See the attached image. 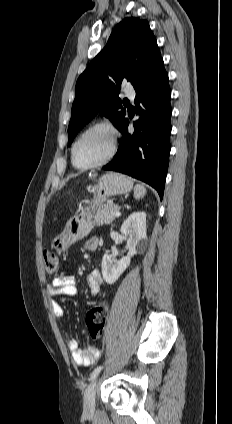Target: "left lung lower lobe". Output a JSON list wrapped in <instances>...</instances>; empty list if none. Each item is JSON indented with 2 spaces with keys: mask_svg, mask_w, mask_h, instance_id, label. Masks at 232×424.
<instances>
[{
  "mask_svg": "<svg viewBox=\"0 0 232 424\" xmlns=\"http://www.w3.org/2000/svg\"><path fill=\"white\" fill-rule=\"evenodd\" d=\"M135 91V112L140 115L133 123L135 131L128 133L129 120L125 118L119 129L124 139L119 142L115 158L103 168L146 182L162 199L171 133V90L163 60Z\"/></svg>",
  "mask_w": 232,
  "mask_h": 424,
  "instance_id": "1",
  "label": "left lung lower lobe"
}]
</instances>
